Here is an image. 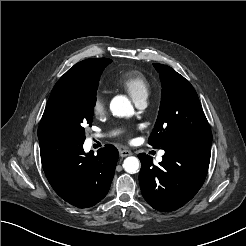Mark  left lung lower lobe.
Wrapping results in <instances>:
<instances>
[{"mask_svg": "<svg viewBox=\"0 0 246 246\" xmlns=\"http://www.w3.org/2000/svg\"><path fill=\"white\" fill-rule=\"evenodd\" d=\"M159 166L145 153L141 161L139 183L144 199L156 210L171 212L191 200L207 175L211 143L177 142L162 148Z\"/></svg>", "mask_w": 246, "mask_h": 246, "instance_id": "obj_1", "label": "left lung lower lobe"}]
</instances>
